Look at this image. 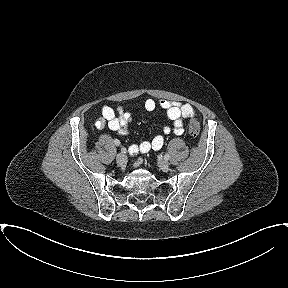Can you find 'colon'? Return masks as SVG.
Listing matches in <instances>:
<instances>
[{
  "label": "colon",
  "mask_w": 288,
  "mask_h": 288,
  "mask_svg": "<svg viewBox=\"0 0 288 288\" xmlns=\"http://www.w3.org/2000/svg\"><path fill=\"white\" fill-rule=\"evenodd\" d=\"M189 134L193 138H197L200 134V123L197 119L192 118L189 122V127H188Z\"/></svg>",
  "instance_id": "obj_1"
}]
</instances>
